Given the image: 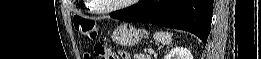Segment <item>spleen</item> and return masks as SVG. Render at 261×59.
Masks as SVG:
<instances>
[{"mask_svg": "<svg viewBox=\"0 0 261 59\" xmlns=\"http://www.w3.org/2000/svg\"><path fill=\"white\" fill-rule=\"evenodd\" d=\"M172 36L169 32H156L153 37L157 42L168 45L172 43Z\"/></svg>", "mask_w": 261, "mask_h": 59, "instance_id": "spleen-1", "label": "spleen"}]
</instances>
